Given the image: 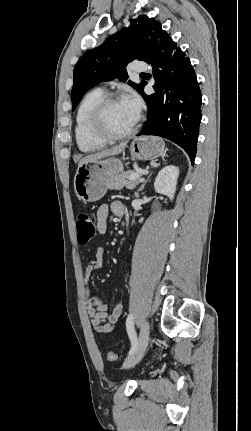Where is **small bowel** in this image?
I'll use <instances>...</instances> for the list:
<instances>
[{
	"instance_id": "small-bowel-1",
	"label": "small bowel",
	"mask_w": 251,
	"mask_h": 431,
	"mask_svg": "<svg viewBox=\"0 0 251 431\" xmlns=\"http://www.w3.org/2000/svg\"><path fill=\"white\" fill-rule=\"evenodd\" d=\"M125 208L120 201H114L110 205H102L97 211V229L100 234H105L107 231V221L109 213L117 217L124 214ZM104 248L97 247L93 253V259L87 265L84 271V307L92 327L98 333L111 332L123 312L122 302L116 303L111 313H108V304L97 297L91 295L88 285L89 278L95 270L103 266Z\"/></svg>"
}]
</instances>
